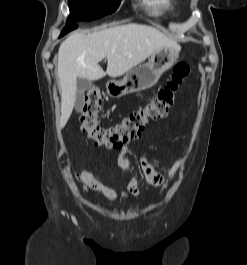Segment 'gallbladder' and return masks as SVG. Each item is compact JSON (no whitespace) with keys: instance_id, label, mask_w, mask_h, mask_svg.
I'll return each mask as SVG.
<instances>
[{"instance_id":"bac80fb5","label":"gallbladder","mask_w":247,"mask_h":265,"mask_svg":"<svg viewBox=\"0 0 247 265\" xmlns=\"http://www.w3.org/2000/svg\"><path fill=\"white\" fill-rule=\"evenodd\" d=\"M92 87V82L86 78L77 79V93L75 107L78 111L82 108L84 92Z\"/></svg>"}]
</instances>
